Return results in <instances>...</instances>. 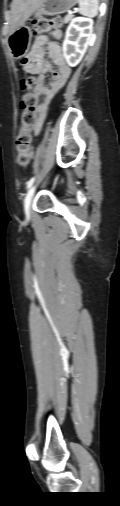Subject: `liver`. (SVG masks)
<instances>
[{
  "mask_svg": "<svg viewBox=\"0 0 120 506\" xmlns=\"http://www.w3.org/2000/svg\"><path fill=\"white\" fill-rule=\"evenodd\" d=\"M44 0H13L9 22V34L24 25L27 19L42 6Z\"/></svg>",
  "mask_w": 120,
  "mask_h": 506,
  "instance_id": "6515ba94",
  "label": "liver"
}]
</instances>
